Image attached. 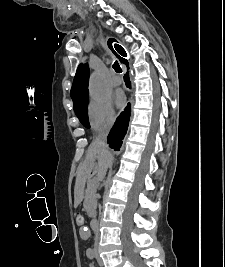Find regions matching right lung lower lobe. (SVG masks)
Here are the masks:
<instances>
[{"mask_svg":"<svg viewBox=\"0 0 225 267\" xmlns=\"http://www.w3.org/2000/svg\"><path fill=\"white\" fill-rule=\"evenodd\" d=\"M125 81L126 85L130 87V81L128 73L125 75ZM130 117V106L128 105L125 109V112H122L121 115L118 117L113 129L111 130L109 136H108V143L110 144V147L119 150L122 139L124 136V131L128 126Z\"/></svg>","mask_w":225,"mask_h":267,"instance_id":"98d812e1","label":"right lung lower lobe"}]
</instances>
